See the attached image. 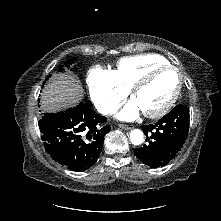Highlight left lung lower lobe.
Masks as SVG:
<instances>
[{
  "mask_svg": "<svg viewBox=\"0 0 221 221\" xmlns=\"http://www.w3.org/2000/svg\"><path fill=\"white\" fill-rule=\"evenodd\" d=\"M189 118L188 108L179 104L157 123L142 126L148 142L134 150L135 156L153 168L167 165L177 156L187 139Z\"/></svg>",
  "mask_w": 221,
  "mask_h": 221,
  "instance_id": "left-lung-lower-lobe-1",
  "label": "left lung lower lobe"
}]
</instances>
